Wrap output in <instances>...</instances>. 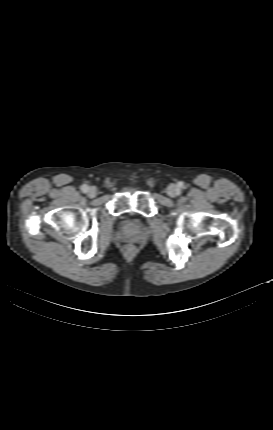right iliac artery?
I'll list each match as a JSON object with an SVG mask.
<instances>
[{
    "instance_id": "82829eb1",
    "label": "right iliac artery",
    "mask_w": 273,
    "mask_h": 430,
    "mask_svg": "<svg viewBox=\"0 0 273 430\" xmlns=\"http://www.w3.org/2000/svg\"><path fill=\"white\" fill-rule=\"evenodd\" d=\"M88 188H89V187H88L87 185H85V184L81 186V190H82L84 193H86V192L88 191Z\"/></svg>"
}]
</instances>
